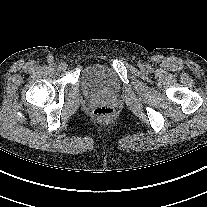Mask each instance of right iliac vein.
Segmentation results:
<instances>
[{"label": "right iliac vein", "mask_w": 207, "mask_h": 207, "mask_svg": "<svg viewBox=\"0 0 207 207\" xmlns=\"http://www.w3.org/2000/svg\"><path fill=\"white\" fill-rule=\"evenodd\" d=\"M60 70H66L67 69V64L66 63H62L60 66H59Z\"/></svg>", "instance_id": "right-iliac-vein-1"}]
</instances>
